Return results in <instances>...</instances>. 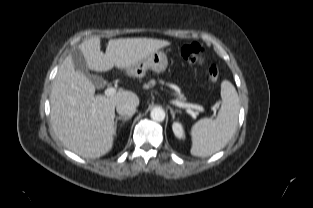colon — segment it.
Listing matches in <instances>:
<instances>
[{"instance_id": "obj_1", "label": "colon", "mask_w": 313, "mask_h": 208, "mask_svg": "<svg viewBox=\"0 0 313 208\" xmlns=\"http://www.w3.org/2000/svg\"><path fill=\"white\" fill-rule=\"evenodd\" d=\"M181 56L198 67L206 64L205 49L195 42L184 45L181 49ZM205 71L211 81L216 82L219 79V70L214 64L208 65Z\"/></svg>"}]
</instances>
